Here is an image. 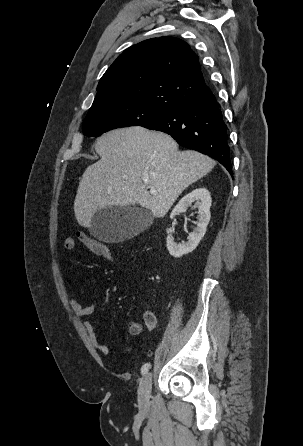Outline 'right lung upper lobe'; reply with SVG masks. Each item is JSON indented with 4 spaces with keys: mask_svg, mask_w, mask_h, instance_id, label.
<instances>
[{
    "mask_svg": "<svg viewBox=\"0 0 303 446\" xmlns=\"http://www.w3.org/2000/svg\"><path fill=\"white\" fill-rule=\"evenodd\" d=\"M198 56L174 37L142 41L126 49L107 69L92 108L113 103H142L172 109L210 92Z\"/></svg>",
    "mask_w": 303,
    "mask_h": 446,
    "instance_id": "obj_1",
    "label": "right lung upper lobe"
}]
</instances>
